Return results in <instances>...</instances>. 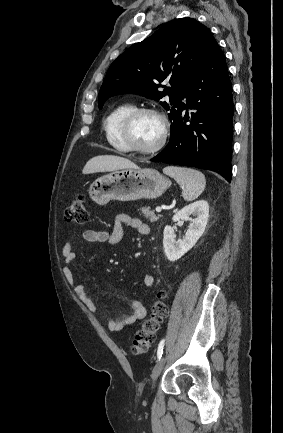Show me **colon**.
<instances>
[{"mask_svg":"<svg viewBox=\"0 0 283 433\" xmlns=\"http://www.w3.org/2000/svg\"><path fill=\"white\" fill-rule=\"evenodd\" d=\"M65 219L78 226H84L87 223L88 210L84 193L79 192L73 196L66 209ZM164 299L165 293L163 291L158 292L150 316L142 323L132 342L131 351L134 354L146 353L154 343L160 325L168 314Z\"/></svg>","mask_w":283,"mask_h":433,"instance_id":"5ec220e1","label":"colon"}]
</instances>
